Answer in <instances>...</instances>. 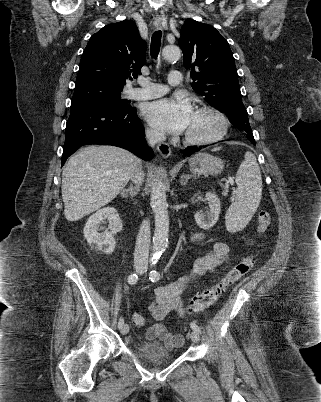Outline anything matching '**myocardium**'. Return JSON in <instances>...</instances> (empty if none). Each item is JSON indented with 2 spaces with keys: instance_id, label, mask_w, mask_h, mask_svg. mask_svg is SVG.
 I'll list each match as a JSON object with an SVG mask.
<instances>
[{
  "instance_id": "1",
  "label": "myocardium",
  "mask_w": 321,
  "mask_h": 402,
  "mask_svg": "<svg viewBox=\"0 0 321 402\" xmlns=\"http://www.w3.org/2000/svg\"><path fill=\"white\" fill-rule=\"evenodd\" d=\"M196 112H209L211 114H213L214 116H216V118L219 121V129L218 131L209 137H204V138H200V137H194L192 135L186 134L184 135V141L190 145H208V144H212L215 143L219 140H221L228 132V128H229V121L226 117V115L219 110L216 107L210 106V105H202L199 106L195 109Z\"/></svg>"
}]
</instances>
